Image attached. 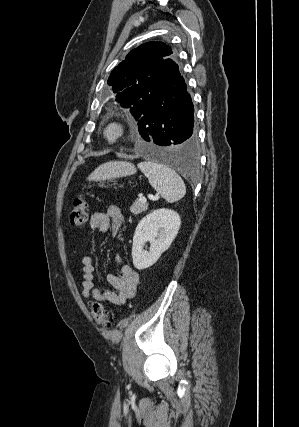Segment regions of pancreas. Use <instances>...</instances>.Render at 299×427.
<instances>
[{"mask_svg": "<svg viewBox=\"0 0 299 427\" xmlns=\"http://www.w3.org/2000/svg\"><path fill=\"white\" fill-rule=\"evenodd\" d=\"M148 208L147 202H142L140 199H137L131 206L130 211L135 214H141L142 212H145Z\"/></svg>", "mask_w": 299, "mask_h": 427, "instance_id": "cf45deb5", "label": "pancreas"}]
</instances>
